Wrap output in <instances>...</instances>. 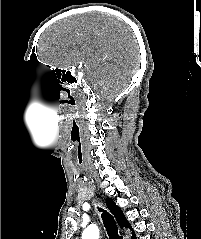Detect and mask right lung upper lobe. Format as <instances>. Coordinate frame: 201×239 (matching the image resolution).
<instances>
[{"mask_svg":"<svg viewBox=\"0 0 201 239\" xmlns=\"http://www.w3.org/2000/svg\"><path fill=\"white\" fill-rule=\"evenodd\" d=\"M106 205L108 209L111 211V213L114 215L118 225L120 227L129 228L132 232L131 239H134L136 237L135 232L130 226V223L126 220L124 214L122 213V210L115 204V202L111 198L106 199Z\"/></svg>","mask_w":201,"mask_h":239,"instance_id":"obj_1","label":"right lung upper lobe"}]
</instances>
